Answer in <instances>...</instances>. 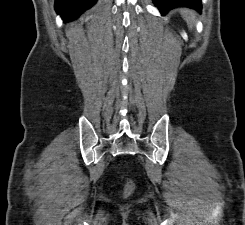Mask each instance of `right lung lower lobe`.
<instances>
[{
  "label": "right lung lower lobe",
  "mask_w": 245,
  "mask_h": 225,
  "mask_svg": "<svg viewBox=\"0 0 245 225\" xmlns=\"http://www.w3.org/2000/svg\"><path fill=\"white\" fill-rule=\"evenodd\" d=\"M97 0H56L55 9L64 20L76 19Z\"/></svg>",
  "instance_id": "obj_1"
}]
</instances>
